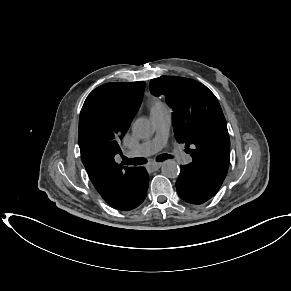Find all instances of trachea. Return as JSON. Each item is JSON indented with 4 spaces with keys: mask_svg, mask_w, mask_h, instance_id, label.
Returning <instances> with one entry per match:
<instances>
[{
    "mask_svg": "<svg viewBox=\"0 0 291 291\" xmlns=\"http://www.w3.org/2000/svg\"><path fill=\"white\" fill-rule=\"evenodd\" d=\"M171 158L172 156L169 154H162L156 158V161L162 162L166 159H171ZM145 163H147V160L145 158H132V159H128L126 157L123 158V164H126V165H142Z\"/></svg>",
    "mask_w": 291,
    "mask_h": 291,
    "instance_id": "1",
    "label": "trachea"
}]
</instances>
